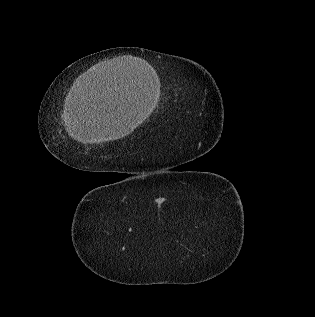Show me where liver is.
<instances>
[{
    "instance_id": "6515ba94",
    "label": "liver",
    "mask_w": 315,
    "mask_h": 317,
    "mask_svg": "<svg viewBox=\"0 0 315 317\" xmlns=\"http://www.w3.org/2000/svg\"><path fill=\"white\" fill-rule=\"evenodd\" d=\"M136 64L134 59L120 61L122 67ZM111 84L106 90L80 87L65 118V128L73 139L84 144L117 140L136 128L138 118L132 115L128 103L119 98L116 81Z\"/></svg>"
}]
</instances>
